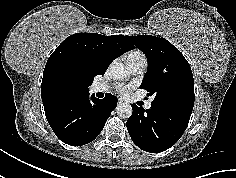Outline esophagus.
<instances>
[{"label": "esophagus", "instance_id": "34e87169", "mask_svg": "<svg viewBox=\"0 0 236 178\" xmlns=\"http://www.w3.org/2000/svg\"><path fill=\"white\" fill-rule=\"evenodd\" d=\"M124 102H123V100L122 99H118V102H117V105L119 106V105H122Z\"/></svg>", "mask_w": 236, "mask_h": 178}]
</instances>
